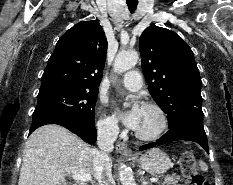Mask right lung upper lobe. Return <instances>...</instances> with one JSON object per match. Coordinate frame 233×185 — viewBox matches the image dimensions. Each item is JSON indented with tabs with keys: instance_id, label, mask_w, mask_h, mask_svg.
Instances as JSON below:
<instances>
[{
	"instance_id": "obj_1",
	"label": "right lung upper lobe",
	"mask_w": 233,
	"mask_h": 185,
	"mask_svg": "<svg viewBox=\"0 0 233 185\" xmlns=\"http://www.w3.org/2000/svg\"><path fill=\"white\" fill-rule=\"evenodd\" d=\"M107 40L97 21H81L57 42L42 76L40 90L68 88L98 91Z\"/></svg>"
}]
</instances>
